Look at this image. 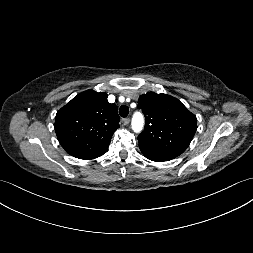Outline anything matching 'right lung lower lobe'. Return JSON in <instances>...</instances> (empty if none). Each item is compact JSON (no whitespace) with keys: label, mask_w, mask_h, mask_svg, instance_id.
<instances>
[{"label":"right lung lower lobe","mask_w":253,"mask_h":253,"mask_svg":"<svg viewBox=\"0 0 253 253\" xmlns=\"http://www.w3.org/2000/svg\"><path fill=\"white\" fill-rule=\"evenodd\" d=\"M106 151H107V149L102 150L101 152L95 153V154H93V155H91V156H89V157H86L85 159L88 160V159L97 158V157L103 155Z\"/></svg>","instance_id":"1"}]
</instances>
